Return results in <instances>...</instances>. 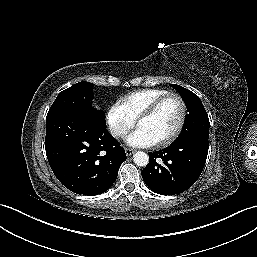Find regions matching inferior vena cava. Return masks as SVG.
<instances>
[{
	"label": "inferior vena cava",
	"mask_w": 257,
	"mask_h": 257,
	"mask_svg": "<svg viewBox=\"0 0 257 257\" xmlns=\"http://www.w3.org/2000/svg\"><path fill=\"white\" fill-rule=\"evenodd\" d=\"M113 135H114V136H118V135L120 136V135H124V133L121 132V131H114V132H113Z\"/></svg>",
	"instance_id": "obj_1"
}]
</instances>
